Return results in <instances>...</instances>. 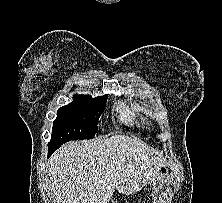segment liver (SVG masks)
<instances>
[{"instance_id":"obj_1","label":"liver","mask_w":222,"mask_h":203,"mask_svg":"<svg viewBox=\"0 0 222 203\" xmlns=\"http://www.w3.org/2000/svg\"><path fill=\"white\" fill-rule=\"evenodd\" d=\"M163 162L145 143L127 135L72 141L49 159L56 203H108L115 188L130 194L153 181Z\"/></svg>"}]
</instances>
